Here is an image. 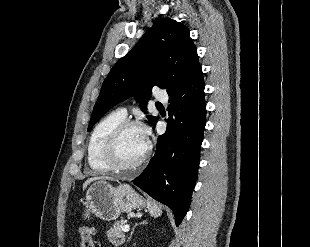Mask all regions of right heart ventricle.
I'll return each mask as SVG.
<instances>
[{"instance_id":"right-heart-ventricle-1","label":"right heart ventricle","mask_w":310,"mask_h":247,"mask_svg":"<svg viewBox=\"0 0 310 247\" xmlns=\"http://www.w3.org/2000/svg\"><path fill=\"white\" fill-rule=\"evenodd\" d=\"M123 120L124 115L119 111H113L103 117L92 130L87 147V161L94 172L110 171L102 158L103 146L109 133Z\"/></svg>"}]
</instances>
